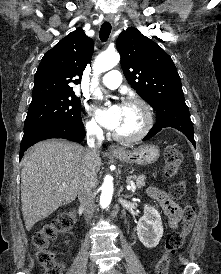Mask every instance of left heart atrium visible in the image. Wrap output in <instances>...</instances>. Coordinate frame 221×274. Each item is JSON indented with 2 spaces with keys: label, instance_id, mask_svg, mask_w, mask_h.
Returning <instances> with one entry per match:
<instances>
[{
  "label": "left heart atrium",
  "instance_id": "39dd6f15",
  "mask_svg": "<svg viewBox=\"0 0 221 274\" xmlns=\"http://www.w3.org/2000/svg\"><path fill=\"white\" fill-rule=\"evenodd\" d=\"M94 111L100 122L108 129L115 130L119 124L121 106L114 104L108 108L94 107Z\"/></svg>",
  "mask_w": 221,
  "mask_h": 274
}]
</instances>
